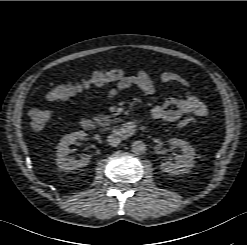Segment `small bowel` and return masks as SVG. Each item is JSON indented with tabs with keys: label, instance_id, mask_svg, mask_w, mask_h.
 Returning a JSON list of instances; mask_svg holds the SVG:
<instances>
[{
	"label": "small bowel",
	"instance_id": "small-bowel-1",
	"mask_svg": "<svg viewBox=\"0 0 247 245\" xmlns=\"http://www.w3.org/2000/svg\"><path fill=\"white\" fill-rule=\"evenodd\" d=\"M160 82L164 84H179L188 86V81L174 72H163L160 75ZM137 87L146 95H152L157 90V85L153 78L146 71H139L134 75L123 76L115 85L105 94L107 100H112L120 92ZM195 115L198 117H207L209 114L207 106L195 95H186L184 97H173L165 101L162 105L152 108L151 117L154 120L175 122L185 115Z\"/></svg>",
	"mask_w": 247,
	"mask_h": 245
}]
</instances>
